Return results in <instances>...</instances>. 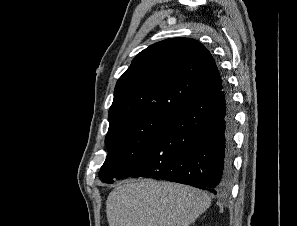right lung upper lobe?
Segmentation results:
<instances>
[{"mask_svg":"<svg viewBox=\"0 0 297 226\" xmlns=\"http://www.w3.org/2000/svg\"><path fill=\"white\" fill-rule=\"evenodd\" d=\"M224 85L212 55L199 41L171 38L157 42L141 51L117 81L110 125L144 113H172Z\"/></svg>","mask_w":297,"mask_h":226,"instance_id":"obj_1","label":"right lung upper lobe"}]
</instances>
